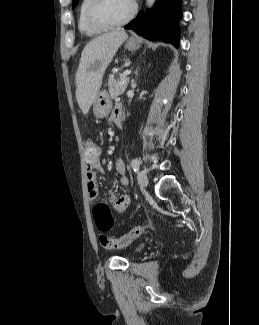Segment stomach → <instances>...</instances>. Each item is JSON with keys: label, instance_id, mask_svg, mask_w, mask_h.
<instances>
[{"label": "stomach", "instance_id": "0dacf381", "mask_svg": "<svg viewBox=\"0 0 259 325\" xmlns=\"http://www.w3.org/2000/svg\"><path fill=\"white\" fill-rule=\"evenodd\" d=\"M125 48L134 51L140 48V44L134 40H128L125 44ZM112 107V101L107 92L101 91L97 94L95 101L93 102V113L97 118H103L108 116Z\"/></svg>", "mask_w": 259, "mask_h": 325}]
</instances>
